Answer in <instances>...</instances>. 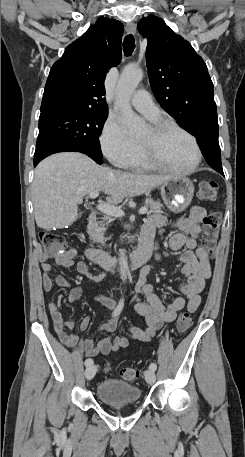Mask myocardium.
<instances>
[{"mask_svg":"<svg viewBox=\"0 0 245 457\" xmlns=\"http://www.w3.org/2000/svg\"><path fill=\"white\" fill-rule=\"evenodd\" d=\"M151 128L158 138L162 137L166 132H168L170 130H177V131L183 133L191 141V144H192L191 146L194 151L195 159H194L193 164L190 167L185 168V169L167 167V166L163 165L162 163H160L159 161H156L153 158H151L147 154L145 147L142 144L137 143V150H138L139 157L148 167L156 169V170H160V171L178 173V174L191 173L198 167V165L201 161V157H202L201 150L198 146L196 138L189 131H187L186 129H184L183 127L178 125L177 123L170 121V120L158 121V122L154 123L151 126Z\"/></svg>","mask_w":245,"mask_h":457,"instance_id":"1","label":"myocardium"}]
</instances>
